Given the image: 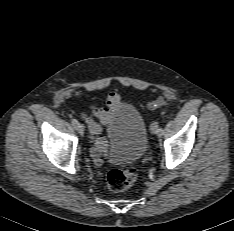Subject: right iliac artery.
Here are the masks:
<instances>
[{
    "mask_svg": "<svg viewBox=\"0 0 234 231\" xmlns=\"http://www.w3.org/2000/svg\"><path fill=\"white\" fill-rule=\"evenodd\" d=\"M71 124L74 126L75 129L78 128V126L80 125L79 122L76 119H71Z\"/></svg>",
    "mask_w": 234,
    "mask_h": 231,
    "instance_id": "1",
    "label": "right iliac artery"
}]
</instances>
